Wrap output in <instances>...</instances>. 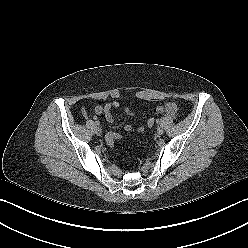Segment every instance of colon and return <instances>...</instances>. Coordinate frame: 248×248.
Masks as SVG:
<instances>
[{"instance_id":"colon-1","label":"colon","mask_w":248,"mask_h":248,"mask_svg":"<svg viewBox=\"0 0 248 248\" xmlns=\"http://www.w3.org/2000/svg\"><path fill=\"white\" fill-rule=\"evenodd\" d=\"M155 120L154 118H149L147 120V126L149 128H152L154 126ZM121 138V135L119 133L112 132L110 133L107 138L106 142L109 146H112L116 140H119Z\"/></svg>"}]
</instances>
